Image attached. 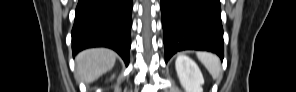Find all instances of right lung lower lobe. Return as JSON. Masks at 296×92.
Instances as JSON below:
<instances>
[{"label": "right lung lower lobe", "instance_id": "1", "mask_svg": "<svg viewBox=\"0 0 296 92\" xmlns=\"http://www.w3.org/2000/svg\"><path fill=\"white\" fill-rule=\"evenodd\" d=\"M132 0H79L72 29L73 54L108 47L129 63Z\"/></svg>", "mask_w": 296, "mask_h": 92}]
</instances>
